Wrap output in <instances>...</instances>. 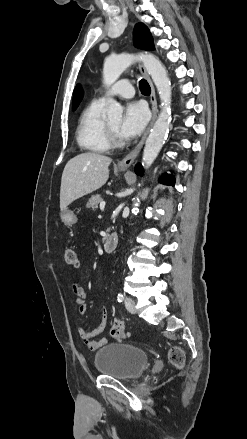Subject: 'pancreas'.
<instances>
[{
  "label": "pancreas",
  "mask_w": 247,
  "mask_h": 439,
  "mask_svg": "<svg viewBox=\"0 0 247 439\" xmlns=\"http://www.w3.org/2000/svg\"><path fill=\"white\" fill-rule=\"evenodd\" d=\"M103 202V199L100 195H93L91 196V198H89L87 204H86V208L87 209H93L96 210L98 208V205ZM110 229H107V232H109Z\"/></svg>",
  "instance_id": "pancreas-1"
}]
</instances>
